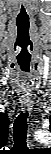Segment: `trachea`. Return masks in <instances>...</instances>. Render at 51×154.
<instances>
[{"label":"trachea","instance_id":"3493384b","mask_svg":"<svg viewBox=\"0 0 51 154\" xmlns=\"http://www.w3.org/2000/svg\"><path fill=\"white\" fill-rule=\"evenodd\" d=\"M27 117L28 112H21L16 117L13 125V136L15 141H24L27 135Z\"/></svg>","mask_w":51,"mask_h":154}]
</instances>
